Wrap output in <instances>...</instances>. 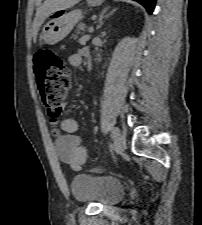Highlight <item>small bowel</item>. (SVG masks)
<instances>
[{
    "instance_id": "obj_1",
    "label": "small bowel",
    "mask_w": 202,
    "mask_h": 225,
    "mask_svg": "<svg viewBox=\"0 0 202 225\" xmlns=\"http://www.w3.org/2000/svg\"><path fill=\"white\" fill-rule=\"evenodd\" d=\"M89 52L88 48H82L77 53L70 55L67 62L71 67H79L82 64L85 53ZM65 110V105L62 111ZM60 127L63 135L57 138L56 155L59 160L70 165L75 170H80L85 164L87 149L83 144V139L77 134L79 130L78 122L74 118H64L61 120Z\"/></svg>"
}]
</instances>
